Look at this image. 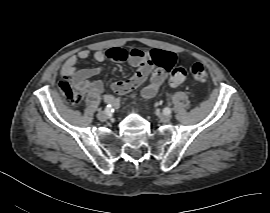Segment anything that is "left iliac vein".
Returning a JSON list of instances; mask_svg holds the SVG:
<instances>
[{
    "mask_svg": "<svg viewBox=\"0 0 270 213\" xmlns=\"http://www.w3.org/2000/svg\"><path fill=\"white\" fill-rule=\"evenodd\" d=\"M158 116H159V119L164 123H167V122H169L171 120L170 115H167V114H164V113H160Z\"/></svg>",
    "mask_w": 270,
    "mask_h": 213,
    "instance_id": "1",
    "label": "left iliac vein"
}]
</instances>
